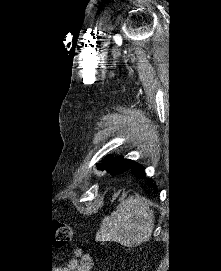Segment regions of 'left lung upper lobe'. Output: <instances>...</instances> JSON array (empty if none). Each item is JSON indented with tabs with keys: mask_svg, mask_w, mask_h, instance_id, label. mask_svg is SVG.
Instances as JSON below:
<instances>
[{
	"mask_svg": "<svg viewBox=\"0 0 221 271\" xmlns=\"http://www.w3.org/2000/svg\"><path fill=\"white\" fill-rule=\"evenodd\" d=\"M132 164V161L126 159L113 160L112 156H109L102 160V163L97 164L99 170H106L110 174H121L127 171Z\"/></svg>",
	"mask_w": 221,
	"mask_h": 271,
	"instance_id": "1",
	"label": "left lung upper lobe"
}]
</instances>
